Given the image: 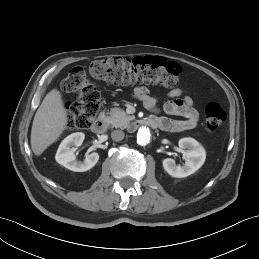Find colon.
I'll return each instance as SVG.
<instances>
[{
	"instance_id": "obj_1",
	"label": "colon",
	"mask_w": 259,
	"mask_h": 259,
	"mask_svg": "<svg viewBox=\"0 0 259 259\" xmlns=\"http://www.w3.org/2000/svg\"><path fill=\"white\" fill-rule=\"evenodd\" d=\"M88 74L98 80L112 84H157L176 87L179 84V67L159 57L123 58L110 57L92 62ZM86 70L74 67L62 81V89L76 96L68 107L66 125L69 129H86L100 109L101 96L90 82ZM205 127L216 131L226 118L225 111L216 102H210L205 110Z\"/></svg>"
}]
</instances>
